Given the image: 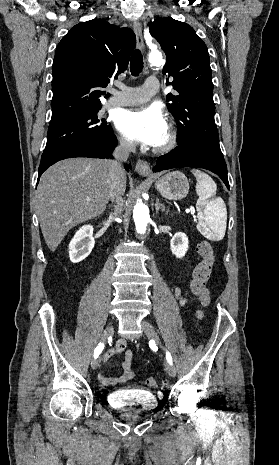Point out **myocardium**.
Masks as SVG:
<instances>
[{
	"instance_id": "myocardium-1",
	"label": "myocardium",
	"mask_w": 279,
	"mask_h": 465,
	"mask_svg": "<svg viewBox=\"0 0 279 465\" xmlns=\"http://www.w3.org/2000/svg\"><path fill=\"white\" fill-rule=\"evenodd\" d=\"M168 128V137L167 140L164 144L160 146H155L153 148V151L155 153H166L171 151L176 145L178 141V133L176 128L173 126V124H169L167 126Z\"/></svg>"
}]
</instances>
